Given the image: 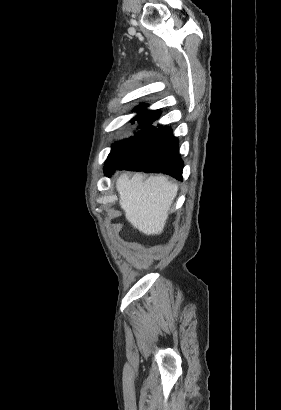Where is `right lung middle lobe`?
<instances>
[{
	"label": "right lung middle lobe",
	"instance_id": "1",
	"mask_svg": "<svg viewBox=\"0 0 281 410\" xmlns=\"http://www.w3.org/2000/svg\"><path fill=\"white\" fill-rule=\"evenodd\" d=\"M135 110L139 113L131 120V123H134L135 120H138L141 126V131L128 139H124L117 144L112 145L111 152L104 164L105 172L113 170L116 165L125 157V155L155 128L154 126H152V123L159 118L160 111L145 110L143 106H138V108H136Z\"/></svg>",
	"mask_w": 281,
	"mask_h": 410
}]
</instances>
